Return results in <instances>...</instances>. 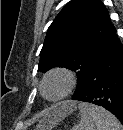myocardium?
Returning <instances> with one entry per match:
<instances>
[{"label": "myocardium", "mask_w": 123, "mask_h": 130, "mask_svg": "<svg viewBox=\"0 0 123 130\" xmlns=\"http://www.w3.org/2000/svg\"><path fill=\"white\" fill-rule=\"evenodd\" d=\"M55 76H61L65 81L64 89L56 96H49L45 92V85L47 81ZM77 77L75 73L67 67H54L47 71L42 78L40 90L42 95L49 101H59L67 97L76 87Z\"/></svg>", "instance_id": "myocardium-1"}]
</instances>
